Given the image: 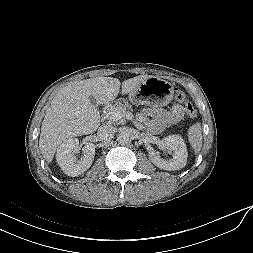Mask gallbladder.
Wrapping results in <instances>:
<instances>
[{
  "label": "gallbladder",
  "instance_id": "bac80fb5",
  "mask_svg": "<svg viewBox=\"0 0 253 253\" xmlns=\"http://www.w3.org/2000/svg\"><path fill=\"white\" fill-rule=\"evenodd\" d=\"M89 100H90V102H91L93 105H95V106L98 105L96 99H95L93 96H90V97H89Z\"/></svg>",
  "mask_w": 253,
  "mask_h": 253
}]
</instances>
